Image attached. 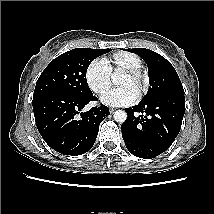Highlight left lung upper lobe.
Masks as SVG:
<instances>
[{"mask_svg": "<svg viewBox=\"0 0 214 214\" xmlns=\"http://www.w3.org/2000/svg\"><path fill=\"white\" fill-rule=\"evenodd\" d=\"M126 50L139 55L147 64L150 87L143 101L170 94L184 95L177 72L163 56L146 48Z\"/></svg>", "mask_w": 214, "mask_h": 214, "instance_id": "obj_1", "label": "left lung upper lobe"}]
</instances>
